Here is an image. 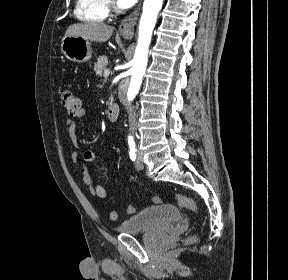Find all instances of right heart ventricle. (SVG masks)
<instances>
[{
    "label": "right heart ventricle",
    "instance_id": "e07e8e85",
    "mask_svg": "<svg viewBox=\"0 0 288 280\" xmlns=\"http://www.w3.org/2000/svg\"><path fill=\"white\" fill-rule=\"evenodd\" d=\"M75 16L85 22H102L109 14L107 0H77Z\"/></svg>",
    "mask_w": 288,
    "mask_h": 280
}]
</instances>
